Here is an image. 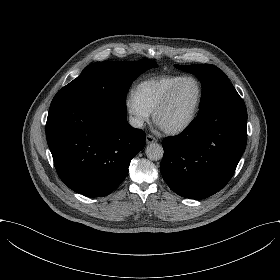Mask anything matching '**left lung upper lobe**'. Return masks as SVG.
<instances>
[{"instance_id": "left-lung-upper-lobe-1", "label": "left lung upper lobe", "mask_w": 280, "mask_h": 280, "mask_svg": "<svg viewBox=\"0 0 280 280\" xmlns=\"http://www.w3.org/2000/svg\"><path fill=\"white\" fill-rule=\"evenodd\" d=\"M176 68L196 75L202 84L199 112L239 94L228 77L218 67L211 64L175 65Z\"/></svg>"}]
</instances>
